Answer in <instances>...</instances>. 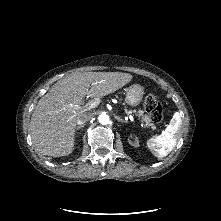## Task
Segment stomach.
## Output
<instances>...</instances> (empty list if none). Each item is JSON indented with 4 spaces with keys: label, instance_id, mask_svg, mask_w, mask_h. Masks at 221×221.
I'll use <instances>...</instances> for the list:
<instances>
[{
    "label": "stomach",
    "instance_id": "stomach-1",
    "mask_svg": "<svg viewBox=\"0 0 221 221\" xmlns=\"http://www.w3.org/2000/svg\"><path fill=\"white\" fill-rule=\"evenodd\" d=\"M144 89L139 84H133L126 89V102L132 107L137 106L142 101Z\"/></svg>",
    "mask_w": 221,
    "mask_h": 221
}]
</instances>
